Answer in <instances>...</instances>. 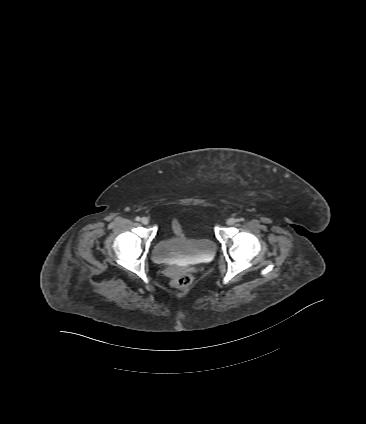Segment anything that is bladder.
I'll list each match as a JSON object with an SVG mask.
<instances>
[{"label":"bladder","mask_w":366,"mask_h":424,"mask_svg":"<svg viewBox=\"0 0 366 424\" xmlns=\"http://www.w3.org/2000/svg\"><path fill=\"white\" fill-rule=\"evenodd\" d=\"M216 244L208 238H161L152 248V258L158 263L180 260L205 261L214 257Z\"/></svg>","instance_id":"bladder-1"}]
</instances>
